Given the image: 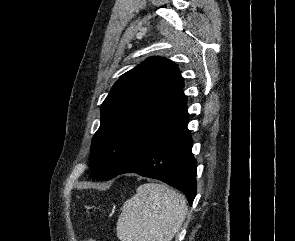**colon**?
Here are the masks:
<instances>
[{
    "instance_id": "5ec220e1",
    "label": "colon",
    "mask_w": 295,
    "mask_h": 241,
    "mask_svg": "<svg viewBox=\"0 0 295 241\" xmlns=\"http://www.w3.org/2000/svg\"><path fill=\"white\" fill-rule=\"evenodd\" d=\"M84 241H95V240L89 239V240H84Z\"/></svg>"
}]
</instances>
